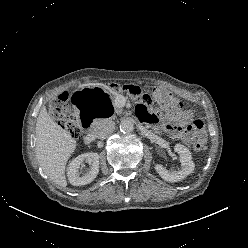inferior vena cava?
<instances>
[{
    "label": "inferior vena cava",
    "mask_w": 248,
    "mask_h": 248,
    "mask_svg": "<svg viewBox=\"0 0 248 248\" xmlns=\"http://www.w3.org/2000/svg\"><path fill=\"white\" fill-rule=\"evenodd\" d=\"M115 130V122L112 120H104L94 130V136L96 138H105L113 133Z\"/></svg>",
    "instance_id": "1"
}]
</instances>
